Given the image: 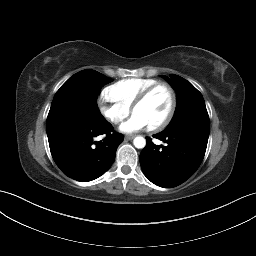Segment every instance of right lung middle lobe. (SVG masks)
I'll use <instances>...</instances> for the list:
<instances>
[{"label":"right lung middle lobe","mask_w":256,"mask_h":256,"mask_svg":"<svg viewBox=\"0 0 256 256\" xmlns=\"http://www.w3.org/2000/svg\"><path fill=\"white\" fill-rule=\"evenodd\" d=\"M111 78L90 69L70 77L57 91L47 120L65 116L83 119L105 120L97 106V96Z\"/></svg>","instance_id":"dd1d6c3e"}]
</instances>
